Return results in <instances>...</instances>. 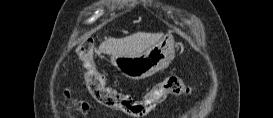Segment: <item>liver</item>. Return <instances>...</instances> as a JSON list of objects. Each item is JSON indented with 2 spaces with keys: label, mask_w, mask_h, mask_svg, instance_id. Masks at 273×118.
Returning a JSON list of instances; mask_svg holds the SVG:
<instances>
[{
  "label": "liver",
  "mask_w": 273,
  "mask_h": 118,
  "mask_svg": "<svg viewBox=\"0 0 273 118\" xmlns=\"http://www.w3.org/2000/svg\"><path fill=\"white\" fill-rule=\"evenodd\" d=\"M163 33L137 32L123 38L109 37L100 44L99 50L110 55H138L153 46Z\"/></svg>",
  "instance_id": "obj_1"
}]
</instances>
